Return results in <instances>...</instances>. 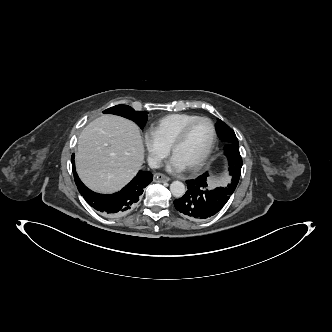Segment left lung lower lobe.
<instances>
[{
    "mask_svg": "<svg viewBox=\"0 0 332 332\" xmlns=\"http://www.w3.org/2000/svg\"><path fill=\"white\" fill-rule=\"evenodd\" d=\"M231 146L242 165L239 147ZM207 174L205 173L194 180L186 181L188 191L182 198L174 201L175 208L187 218L203 221L214 216L232 195L224 192L222 188L209 190L204 179Z\"/></svg>",
    "mask_w": 332,
    "mask_h": 332,
    "instance_id": "left-lung-lower-lobe-1",
    "label": "left lung lower lobe"
}]
</instances>
